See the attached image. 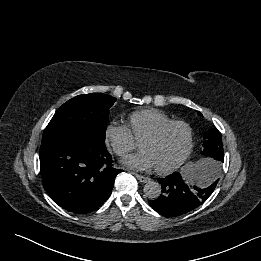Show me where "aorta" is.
<instances>
[{
    "instance_id": "762f6f07",
    "label": "aorta",
    "mask_w": 261,
    "mask_h": 261,
    "mask_svg": "<svg viewBox=\"0 0 261 261\" xmlns=\"http://www.w3.org/2000/svg\"><path fill=\"white\" fill-rule=\"evenodd\" d=\"M144 193L149 199H157L161 194V185L156 181H149L144 186Z\"/></svg>"
}]
</instances>
